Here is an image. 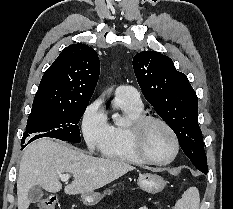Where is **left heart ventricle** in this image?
Here are the masks:
<instances>
[{
  "instance_id": "left-heart-ventricle-1",
  "label": "left heart ventricle",
  "mask_w": 233,
  "mask_h": 209,
  "mask_svg": "<svg viewBox=\"0 0 233 209\" xmlns=\"http://www.w3.org/2000/svg\"><path fill=\"white\" fill-rule=\"evenodd\" d=\"M143 147L146 154L157 161L167 160L174 150L172 137L157 123H151L146 128Z\"/></svg>"
}]
</instances>
